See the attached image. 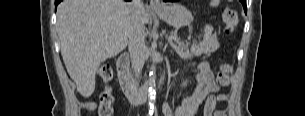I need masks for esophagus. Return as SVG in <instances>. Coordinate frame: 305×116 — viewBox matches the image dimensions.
Masks as SVG:
<instances>
[{"mask_svg": "<svg viewBox=\"0 0 305 116\" xmlns=\"http://www.w3.org/2000/svg\"><path fill=\"white\" fill-rule=\"evenodd\" d=\"M150 8L153 10L161 9L162 4L159 0H151L150 1Z\"/></svg>", "mask_w": 305, "mask_h": 116, "instance_id": "1", "label": "esophagus"}]
</instances>
